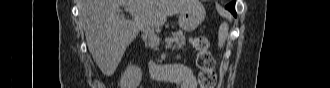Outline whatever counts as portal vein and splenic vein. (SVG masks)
<instances>
[{"instance_id":"obj_1","label":"portal vein and splenic vein","mask_w":330,"mask_h":88,"mask_svg":"<svg viewBox=\"0 0 330 88\" xmlns=\"http://www.w3.org/2000/svg\"><path fill=\"white\" fill-rule=\"evenodd\" d=\"M129 12L133 15L135 21L137 22V24L140 26V28L142 29V31L145 33V35L148 36L149 40L155 44V45H159V37L157 36V34L154 32L153 29L150 28V26L148 25V23L145 21V19L143 18L142 14L140 13V11L137 10H129ZM173 44V40L169 39L166 42L165 47L166 48H170Z\"/></svg>"}]
</instances>
